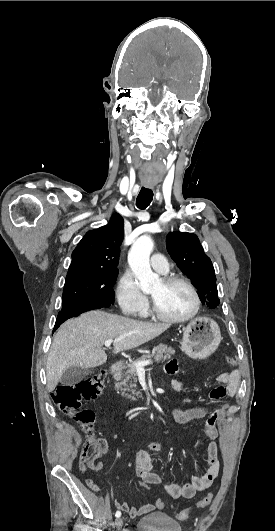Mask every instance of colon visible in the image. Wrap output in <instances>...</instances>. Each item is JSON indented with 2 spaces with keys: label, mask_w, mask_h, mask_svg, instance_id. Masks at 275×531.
Masks as SVG:
<instances>
[{
  "label": "colon",
  "mask_w": 275,
  "mask_h": 531,
  "mask_svg": "<svg viewBox=\"0 0 275 531\" xmlns=\"http://www.w3.org/2000/svg\"><path fill=\"white\" fill-rule=\"evenodd\" d=\"M227 356V363L230 366H235L237 360L234 357V353L229 351ZM104 383L105 374L103 372H97L90 377L61 385L53 393L55 406L61 412L72 417L82 427L85 441L81 450L80 469L84 472L87 468H99L103 465L101 455L105 453L107 445L104 440L95 438V413L90 409L82 408V402L97 398ZM87 484L91 488L95 487L92 479H88ZM140 485L145 487V491L150 489L148 484L140 482L138 486ZM212 500L213 494L209 493L199 499L194 507L197 509H205L211 504ZM156 507L162 509L165 507V504L159 500L156 502ZM188 512V510L177 512L180 523H187L189 521Z\"/></svg>",
  "instance_id": "5ec220e1"
}]
</instances>
